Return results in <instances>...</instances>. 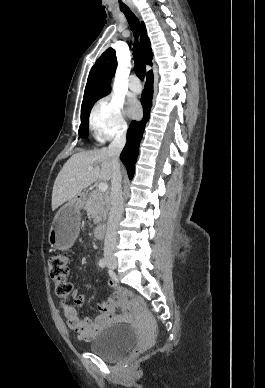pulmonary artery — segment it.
Segmentation results:
<instances>
[{
  "mask_svg": "<svg viewBox=\"0 0 265 388\" xmlns=\"http://www.w3.org/2000/svg\"><path fill=\"white\" fill-rule=\"evenodd\" d=\"M129 90H134L135 93H139L141 91V87L139 85V82L141 80L140 75H129Z\"/></svg>",
  "mask_w": 265,
  "mask_h": 388,
  "instance_id": "1",
  "label": "pulmonary artery"
}]
</instances>
